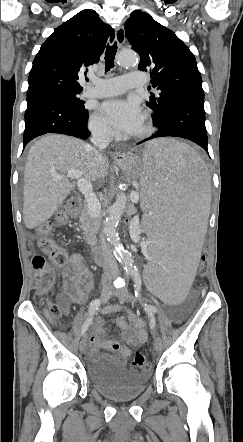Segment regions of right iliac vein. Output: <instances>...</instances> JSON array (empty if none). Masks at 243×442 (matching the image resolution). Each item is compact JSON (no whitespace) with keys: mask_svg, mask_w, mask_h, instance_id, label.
Returning <instances> with one entry per match:
<instances>
[{"mask_svg":"<svg viewBox=\"0 0 243 442\" xmlns=\"http://www.w3.org/2000/svg\"><path fill=\"white\" fill-rule=\"evenodd\" d=\"M112 289L113 286L111 284L104 285L100 294V300L102 303H105L109 299ZM86 345H87V335H84L80 341V346H79L80 352L83 354L86 352Z\"/></svg>","mask_w":243,"mask_h":442,"instance_id":"1","label":"right iliac vein"}]
</instances>
